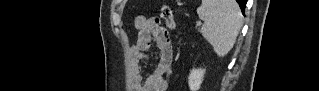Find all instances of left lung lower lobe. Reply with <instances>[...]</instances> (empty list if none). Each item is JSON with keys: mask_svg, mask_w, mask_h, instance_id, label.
<instances>
[{"mask_svg": "<svg viewBox=\"0 0 319 91\" xmlns=\"http://www.w3.org/2000/svg\"><path fill=\"white\" fill-rule=\"evenodd\" d=\"M239 6L241 7L242 13L244 14L245 6H246V0H236Z\"/></svg>", "mask_w": 319, "mask_h": 91, "instance_id": "1", "label": "left lung lower lobe"}]
</instances>
